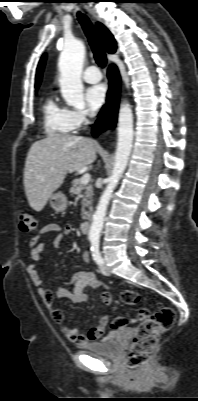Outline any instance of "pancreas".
Returning a JSON list of instances; mask_svg holds the SVG:
<instances>
[{"label": "pancreas", "instance_id": "1", "mask_svg": "<svg viewBox=\"0 0 198 401\" xmlns=\"http://www.w3.org/2000/svg\"><path fill=\"white\" fill-rule=\"evenodd\" d=\"M70 193L72 195H78L79 193L81 194L82 219H85V220L89 219L91 216V212L87 211L86 208L89 207V210H91L90 206L92 204V198H93L92 185L91 184H81L79 179H74L72 181Z\"/></svg>", "mask_w": 198, "mask_h": 401}]
</instances>
